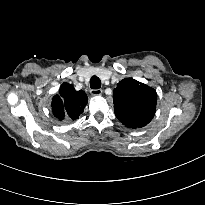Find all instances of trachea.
<instances>
[{
  "instance_id": "trachea-1",
  "label": "trachea",
  "mask_w": 205,
  "mask_h": 205,
  "mask_svg": "<svg viewBox=\"0 0 205 205\" xmlns=\"http://www.w3.org/2000/svg\"><path fill=\"white\" fill-rule=\"evenodd\" d=\"M90 87L92 89H99L101 87V81L97 76H92L90 79Z\"/></svg>"
}]
</instances>
